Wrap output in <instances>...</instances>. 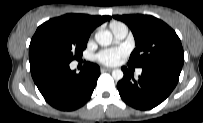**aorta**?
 I'll use <instances>...</instances> for the list:
<instances>
[{"mask_svg": "<svg viewBox=\"0 0 203 123\" xmlns=\"http://www.w3.org/2000/svg\"><path fill=\"white\" fill-rule=\"evenodd\" d=\"M112 33L108 30H101L95 34L96 42L101 46H108L112 43ZM123 71L121 69H114L112 71V77L114 80L119 81L123 78Z\"/></svg>", "mask_w": 203, "mask_h": 123, "instance_id": "1", "label": "aorta"}]
</instances>
